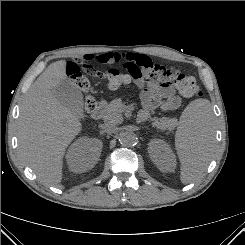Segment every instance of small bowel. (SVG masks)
Instances as JSON below:
<instances>
[{
  "label": "small bowel",
  "instance_id": "1",
  "mask_svg": "<svg viewBox=\"0 0 245 245\" xmlns=\"http://www.w3.org/2000/svg\"><path fill=\"white\" fill-rule=\"evenodd\" d=\"M95 58L100 63L131 62L139 69V74L130 79L140 90L143 105V110L139 114L140 120L147 119L149 113L154 109L173 111L180 107L181 98L171 85L149 80V72L154 64L148 56L137 53L105 52Z\"/></svg>",
  "mask_w": 245,
  "mask_h": 245
}]
</instances>
